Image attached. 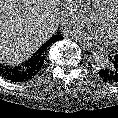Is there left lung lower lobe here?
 Segmentation results:
<instances>
[{
    "label": "left lung lower lobe",
    "instance_id": "obj_1",
    "mask_svg": "<svg viewBox=\"0 0 118 118\" xmlns=\"http://www.w3.org/2000/svg\"><path fill=\"white\" fill-rule=\"evenodd\" d=\"M99 75L105 81L118 84V54L109 58L107 65L99 71Z\"/></svg>",
    "mask_w": 118,
    "mask_h": 118
}]
</instances>
